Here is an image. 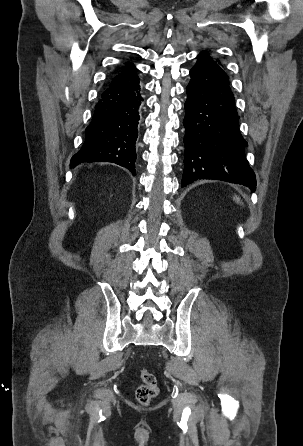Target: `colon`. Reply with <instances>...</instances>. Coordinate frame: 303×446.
<instances>
[{
  "instance_id": "obj_1",
  "label": "colon",
  "mask_w": 303,
  "mask_h": 446,
  "mask_svg": "<svg viewBox=\"0 0 303 446\" xmlns=\"http://www.w3.org/2000/svg\"><path fill=\"white\" fill-rule=\"evenodd\" d=\"M141 384L136 389V400L142 405H148L158 393V383L155 375L143 368L140 371Z\"/></svg>"
}]
</instances>
